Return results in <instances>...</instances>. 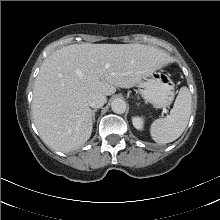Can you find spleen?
<instances>
[{"label": "spleen", "mask_w": 220, "mask_h": 220, "mask_svg": "<svg viewBox=\"0 0 220 220\" xmlns=\"http://www.w3.org/2000/svg\"><path fill=\"white\" fill-rule=\"evenodd\" d=\"M192 96L187 87H182L166 118L152 122L150 135L159 144H166L178 139L184 132L191 114Z\"/></svg>", "instance_id": "spleen-1"}]
</instances>
